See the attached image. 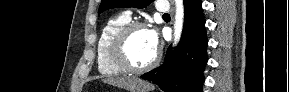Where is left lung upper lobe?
<instances>
[{
	"mask_svg": "<svg viewBox=\"0 0 289 92\" xmlns=\"http://www.w3.org/2000/svg\"><path fill=\"white\" fill-rule=\"evenodd\" d=\"M152 0H102L98 13L115 7L145 8Z\"/></svg>",
	"mask_w": 289,
	"mask_h": 92,
	"instance_id": "1",
	"label": "left lung upper lobe"
}]
</instances>
